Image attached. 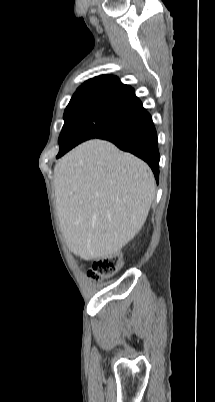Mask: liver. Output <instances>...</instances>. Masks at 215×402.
I'll use <instances>...</instances> for the list:
<instances>
[{
  "mask_svg": "<svg viewBox=\"0 0 215 402\" xmlns=\"http://www.w3.org/2000/svg\"><path fill=\"white\" fill-rule=\"evenodd\" d=\"M53 186L67 247L86 261L117 254L141 230L155 198L149 166L108 141H86L54 167Z\"/></svg>",
  "mask_w": 215,
  "mask_h": 402,
  "instance_id": "1",
  "label": "liver"
}]
</instances>
